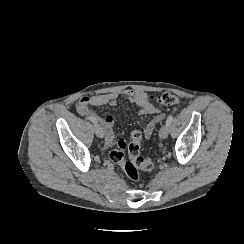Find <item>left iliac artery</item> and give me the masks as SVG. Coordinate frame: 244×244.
<instances>
[{
    "label": "left iliac artery",
    "instance_id": "obj_1",
    "mask_svg": "<svg viewBox=\"0 0 244 244\" xmlns=\"http://www.w3.org/2000/svg\"><path fill=\"white\" fill-rule=\"evenodd\" d=\"M172 120H173V114H170V115L168 116L167 120H166V124H167L168 126H170L171 123H172Z\"/></svg>",
    "mask_w": 244,
    "mask_h": 244
}]
</instances>
